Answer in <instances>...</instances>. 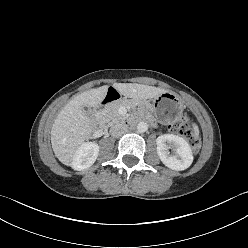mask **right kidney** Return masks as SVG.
I'll use <instances>...</instances> for the list:
<instances>
[{"label": "right kidney", "mask_w": 248, "mask_h": 248, "mask_svg": "<svg viewBox=\"0 0 248 248\" xmlns=\"http://www.w3.org/2000/svg\"><path fill=\"white\" fill-rule=\"evenodd\" d=\"M99 153V146L93 142H85L78 149L72 161L74 170L82 171L91 167L96 161Z\"/></svg>", "instance_id": "right-kidney-1"}]
</instances>
